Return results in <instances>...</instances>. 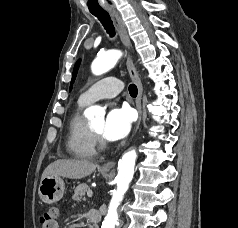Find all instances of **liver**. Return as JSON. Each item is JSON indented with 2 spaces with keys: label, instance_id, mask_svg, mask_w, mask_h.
I'll use <instances>...</instances> for the list:
<instances>
[{
  "label": "liver",
  "instance_id": "1",
  "mask_svg": "<svg viewBox=\"0 0 238 228\" xmlns=\"http://www.w3.org/2000/svg\"><path fill=\"white\" fill-rule=\"evenodd\" d=\"M96 167V164L87 160L59 159L46 167L41 180L47 176H62L70 179H82L91 175Z\"/></svg>",
  "mask_w": 238,
  "mask_h": 228
}]
</instances>
